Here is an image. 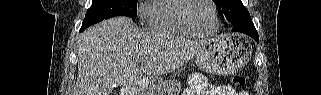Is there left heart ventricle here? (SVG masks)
Wrapping results in <instances>:
<instances>
[{
	"instance_id": "b2bd125f",
	"label": "left heart ventricle",
	"mask_w": 321,
	"mask_h": 95,
	"mask_svg": "<svg viewBox=\"0 0 321 95\" xmlns=\"http://www.w3.org/2000/svg\"><path fill=\"white\" fill-rule=\"evenodd\" d=\"M192 24L203 33H208L215 26L214 14L211 5L206 0H196L192 3L188 13Z\"/></svg>"
}]
</instances>
